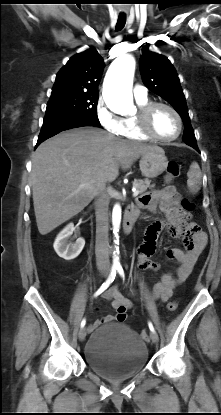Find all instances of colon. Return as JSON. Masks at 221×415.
Listing matches in <instances>:
<instances>
[{
  "label": "colon",
  "instance_id": "1",
  "mask_svg": "<svg viewBox=\"0 0 221 415\" xmlns=\"http://www.w3.org/2000/svg\"><path fill=\"white\" fill-rule=\"evenodd\" d=\"M180 174V165L175 162V161H169L167 166H166V180L167 181H171L175 178H177ZM183 203V207H188L189 211H193L194 210V204L187 198H183L182 200ZM178 307V302L177 301H170L166 308L168 311L173 312L177 309ZM141 336L143 338H147L148 337V333L146 331H143L141 333Z\"/></svg>",
  "mask_w": 221,
  "mask_h": 415
}]
</instances>
